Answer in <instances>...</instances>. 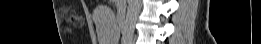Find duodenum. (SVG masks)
Here are the masks:
<instances>
[{
  "label": "duodenum",
  "mask_w": 261,
  "mask_h": 44,
  "mask_svg": "<svg viewBox=\"0 0 261 44\" xmlns=\"http://www.w3.org/2000/svg\"><path fill=\"white\" fill-rule=\"evenodd\" d=\"M118 23H119L121 30L123 31V29H124V13H123L122 10L120 11L119 16H118Z\"/></svg>",
  "instance_id": "410a0bca"
}]
</instances>
